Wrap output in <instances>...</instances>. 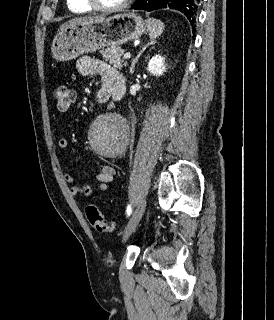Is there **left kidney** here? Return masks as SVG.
I'll use <instances>...</instances> for the list:
<instances>
[{
    "instance_id": "obj_1",
    "label": "left kidney",
    "mask_w": 274,
    "mask_h": 320,
    "mask_svg": "<svg viewBox=\"0 0 274 320\" xmlns=\"http://www.w3.org/2000/svg\"><path fill=\"white\" fill-rule=\"evenodd\" d=\"M147 70L151 76H164V72H166L165 58L160 54L153 56L148 62Z\"/></svg>"
}]
</instances>
